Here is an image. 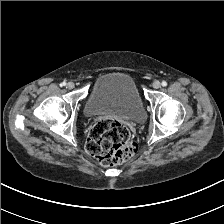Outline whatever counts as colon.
Segmentation results:
<instances>
[{
	"instance_id": "5ec220e1",
	"label": "colon",
	"mask_w": 224,
	"mask_h": 224,
	"mask_svg": "<svg viewBox=\"0 0 224 224\" xmlns=\"http://www.w3.org/2000/svg\"><path fill=\"white\" fill-rule=\"evenodd\" d=\"M86 150L100 164L116 166L131 159L137 147L126 125L116 119L103 118L92 127Z\"/></svg>"
}]
</instances>
